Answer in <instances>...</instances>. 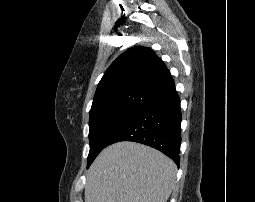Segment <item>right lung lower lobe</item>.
Returning a JSON list of instances; mask_svg holds the SVG:
<instances>
[{
	"label": "right lung lower lobe",
	"mask_w": 255,
	"mask_h": 202,
	"mask_svg": "<svg viewBox=\"0 0 255 202\" xmlns=\"http://www.w3.org/2000/svg\"><path fill=\"white\" fill-rule=\"evenodd\" d=\"M181 119L180 100L174 91L139 109L108 145L119 141L142 143L160 150L179 166Z\"/></svg>",
	"instance_id": "right-lung-lower-lobe-1"
}]
</instances>
